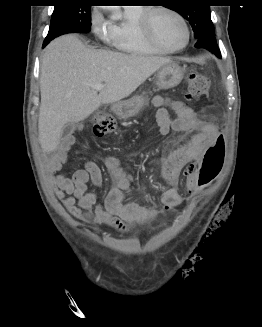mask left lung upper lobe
Segmentation results:
<instances>
[{
    "label": "left lung upper lobe",
    "mask_w": 262,
    "mask_h": 327,
    "mask_svg": "<svg viewBox=\"0 0 262 327\" xmlns=\"http://www.w3.org/2000/svg\"><path fill=\"white\" fill-rule=\"evenodd\" d=\"M169 7L182 15L192 26L195 39L215 32L210 16V6L204 4L203 0H193V5L180 4V0L169 1Z\"/></svg>",
    "instance_id": "left-lung-upper-lobe-1"
}]
</instances>
